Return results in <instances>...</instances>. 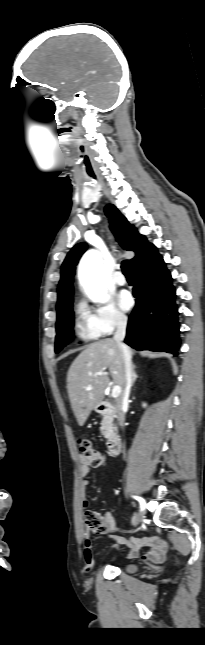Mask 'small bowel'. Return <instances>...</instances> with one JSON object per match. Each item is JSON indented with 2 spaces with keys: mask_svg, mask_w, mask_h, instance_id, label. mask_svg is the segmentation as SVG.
Returning a JSON list of instances; mask_svg holds the SVG:
<instances>
[{
  "mask_svg": "<svg viewBox=\"0 0 205 645\" xmlns=\"http://www.w3.org/2000/svg\"><path fill=\"white\" fill-rule=\"evenodd\" d=\"M80 463H81L80 475L83 478L81 484L84 488H86L89 485V481L86 479V477L89 474L91 466L86 462V460L83 457L80 459ZM88 506H89L88 501L84 499L83 507L87 508ZM104 521L107 525V529L110 532L117 533L119 531V529L116 526L115 520L110 513L105 514ZM88 534L89 532L88 530H86L84 532V535L86 537L85 549H84V560L88 566H92L94 564V559L90 548V542L88 540ZM116 538L121 540V542L128 548V552L126 555V558L128 559L138 558L140 550L144 547H147L148 551L146 554L142 556V560L145 562L158 563L164 559L167 551L166 541L163 538L158 536H154V537L116 536Z\"/></svg>",
  "mask_w": 205,
  "mask_h": 645,
  "instance_id": "small-bowel-1",
  "label": "small bowel"
}]
</instances>
